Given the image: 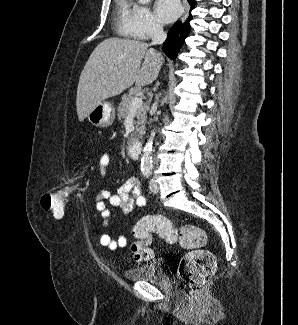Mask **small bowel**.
<instances>
[{"mask_svg": "<svg viewBox=\"0 0 298 325\" xmlns=\"http://www.w3.org/2000/svg\"><path fill=\"white\" fill-rule=\"evenodd\" d=\"M112 152V149H107L99 157L100 176L102 178L107 176V168L111 163ZM107 201H109L111 206L121 208L127 215L131 214L135 209L143 207L146 203L145 198L141 194L140 185L134 177L128 178L119 187L116 194L106 189L101 190L96 196L95 206L103 219L104 227L108 225L110 217ZM100 244L110 250H115L125 247L127 245V238L124 235H120L117 239H113L109 234L104 233L100 237Z\"/></svg>", "mask_w": 298, "mask_h": 325, "instance_id": "obj_1", "label": "small bowel"}]
</instances>
